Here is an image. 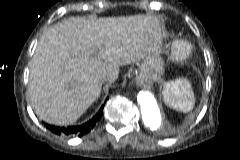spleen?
Listing matches in <instances>:
<instances>
[{
  "mask_svg": "<svg viewBox=\"0 0 240 160\" xmlns=\"http://www.w3.org/2000/svg\"><path fill=\"white\" fill-rule=\"evenodd\" d=\"M164 101L172 108L188 112L194 107V94L187 79H176L165 85Z\"/></svg>",
  "mask_w": 240,
  "mask_h": 160,
  "instance_id": "spleen-1",
  "label": "spleen"
}]
</instances>
